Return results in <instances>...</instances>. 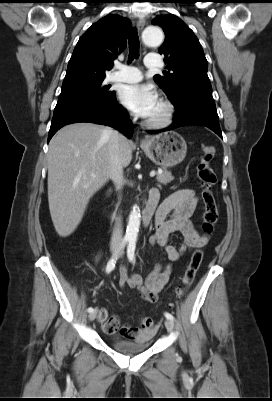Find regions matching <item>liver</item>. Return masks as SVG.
Segmentation results:
<instances>
[{"label": "liver", "mask_w": 272, "mask_h": 401, "mask_svg": "<svg viewBox=\"0 0 272 401\" xmlns=\"http://www.w3.org/2000/svg\"><path fill=\"white\" fill-rule=\"evenodd\" d=\"M109 128L74 123L60 129L49 144L48 202L56 232L72 234L82 220L90 198L110 178ZM123 167L132 160L131 142L120 140Z\"/></svg>", "instance_id": "obj_1"}]
</instances>
